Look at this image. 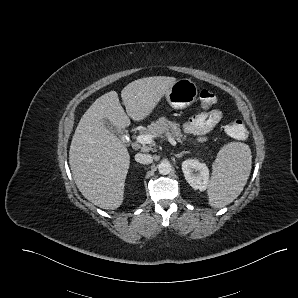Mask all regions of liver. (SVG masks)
I'll list each match as a JSON object with an SVG mask.
<instances>
[{"instance_id": "obj_1", "label": "liver", "mask_w": 298, "mask_h": 298, "mask_svg": "<svg viewBox=\"0 0 298 298\" xmlns=\"http://www.w3.org/2000/svg\"><path fill=\"white\" fill-rule=\"evenodd\" d=\"M175 77L152 76L134 80L118 93L97 98L81 117L72 137L69 164L82 195L102 209L115 210L123 202L130 155L123 142L103 123L108 119L117 129L141 121L156 108L176 82Z\"/></svg>"}]
</instances>
